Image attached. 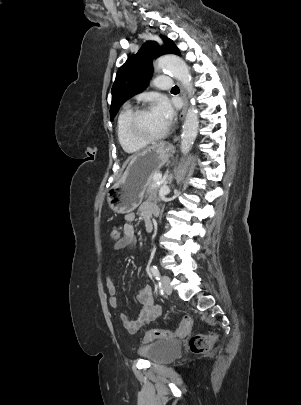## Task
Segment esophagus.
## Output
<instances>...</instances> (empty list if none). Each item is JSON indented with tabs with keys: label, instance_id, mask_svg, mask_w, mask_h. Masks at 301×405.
<instances>
[{
	"label": "esophagus",
	"instance_id": "34e87169",
	"mask_svg": "<svg viewBox=\"0 0 301 405\" xmlns=\"http://www.w3.org/2000/svg\"><path fill=\"white\" fill-rule=\"evenodd\" d=\"M180 91H181V94H182V97H183V100H184V107H183V110H182V112H181V114L179 116V119L182 121L184 119L186 111H187L188 100H187V97H186L185 89L183 88L182 85H180ZM174 140L176 141L177 138H174Z\"/></svg>",
	"mask_w": 301,
	"mask_h": 405
}]
</instances>
